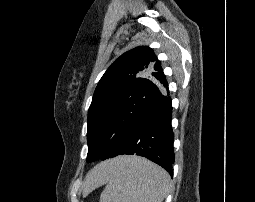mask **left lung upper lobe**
<instances>
[{"label": "left lung upper lobe", "instance_id": "obj_1", "mask_svg": "<svg viewBox=\"0 0 255 202\" xmlns=\"http://www.w3.org/2000/svg\"><path fill=\"white\" fill-rule=\"evenodd\" d=\"M168 84L152 49L136 47L107 69L88 112L87 161L117 156L144 118L168 98Z\"/></svg>", "mask_w": 255, "mask_h": 202}]
</instances>
